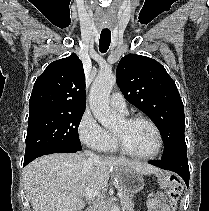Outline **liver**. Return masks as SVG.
Wrapping results in <instances>:
<instances>
[{"mask_svg": "<svg viewBox=\"0 0 209 211\" xmlns=\"http://www.w3.org/2000/svg\"><path fill=\"white\" fill-rule=\"evenodd\" d=\"M129 168L139 175L160 169L123 158L90 161L84 154H51L29 163L23 170L24 188L34 211H82L85 189L101 190L110 173Z\"/></svg>", "mask_w": 209, "mask_h": 211, "instance_id": "obj_1", "label": "liver"}]
</instances>
